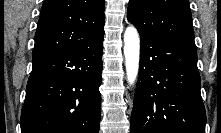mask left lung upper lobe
<instances>
[{"instance_id": "left-lung-upper-lobe-1", "label": "left lung upper lobe", "mask_w": 221, "mask_h": 133, "mask_svg": "<svg viewBox=\"0 0 221 133\" xmlns=\"http://www.w3.org/2000/svg\"><path fill=\"white\" fill-rule=\"evenodd\" d=\"M127 18L140 34L195 45L188 0H130Z\"/></svg>"}]
</instances>
